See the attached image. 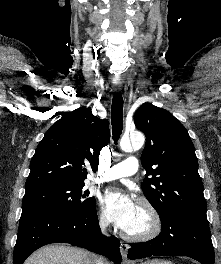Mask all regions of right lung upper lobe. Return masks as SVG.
Wrapping results in <instances>:
<instances>
[{
    "instance_id": "right-lung-upper-lobe-1",
    "label": "right lung upper lobe",
    "mask_w": 221,
    "mask_h": 264,
    "mask_svg": "<svg viewBox=\"0 0 221 264\" xmlns=\"http://www.w3.org/2000/svg\"><path fill=\"white\" fill-rule=\"evenodd\" d=\"M109 139L108 121L93 116L90 108L66 113L39 143L25 189L56 182L84 184L86 166L97 168L100 151Z\"/></svg>"
}]
</instances>
